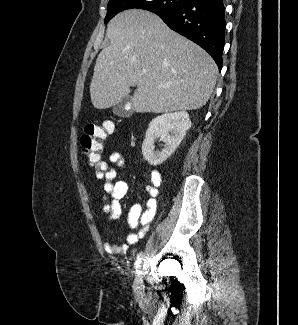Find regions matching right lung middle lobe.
I'll use <instances>...</instances> for the list:
<instances>
[{
	"instance_id": "obj_1",
	"label": "right lung middle lobe",
	"mask_w": 298,
	"mask_h": 325,
	"mask_svg": "<svg viewBox=\"0 0 298 325\" xmlns=\"http://www.w3.org/2000/svg\"><path fill=\"white\" fill-rule=\"evenodd\" d=\"M190 0H112L107 5V15L104 23H107L119 12L138 8L145 9L151 12L178 9Z\"/></svg>"
}]
</instances>
